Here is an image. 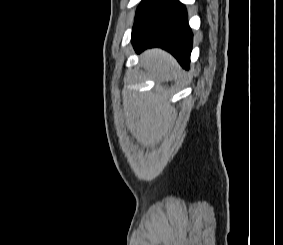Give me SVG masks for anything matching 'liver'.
Instances as JSON below:
<instances>
[{"label":"liver","instance_id":"liver-1","mask_svg":"<svg viewBox=\"0 0 283 245\" xmlns=\"http://www.w3.org/2000/svg\"><path fill=\"white\" fill-rule=\"evenodd\" d=\"M144 67L152 70L162 78H172L180 74V67L168 53L159 50H148L142 55Z\"/></svg>","mask_w":283,"mask_h":245}]
</instances>
